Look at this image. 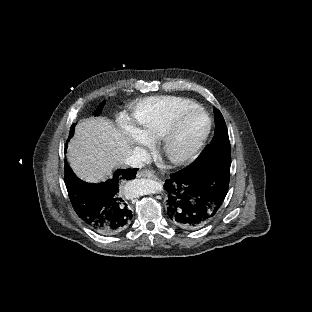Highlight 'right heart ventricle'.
Returning <instances> with one entry per match:
<instances>
[{"label": "right heart ventricle", "mask_w": 312, "mask_h": 312, "mask_svg": "<svg viewBox=\"0 0 312 312\" xmlns=\"http://www.w3.org/2000/svg\"><path fill=\"white\" fill-rule=\"evenodd\" d=\"M198 107V100L193 95L150 94L134 105L133 125L138 135L153 141L170 126H177L195 113Z\"/></svg>", "instance_id": "e07e8e85"}]
</instances>
